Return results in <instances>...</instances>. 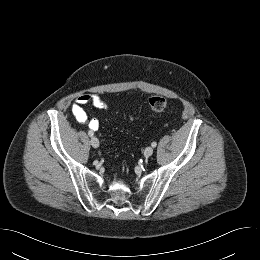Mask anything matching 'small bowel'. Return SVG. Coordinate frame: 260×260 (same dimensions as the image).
Segmentation results:
<instances>
[{"label": "small bowel", "instance_id": "small-bowel-1", "mask_svg": "<svg viewBox=\"0 0 260 260\" xmlns=\"http://www.w3.org/2000/svg\"><path fill=\"white\" fill-rule=\"evenodd\" d=\"M91 104L99 109H106L107 103L95 93H88L79 95L74 103L71 105V112L76 122L80 124H86L91 129L90 131H97L99 128V122L95 118H89L84 106Z\"/></svg>", "mask_w": 260, "mask_h": 260}]
</instances>
